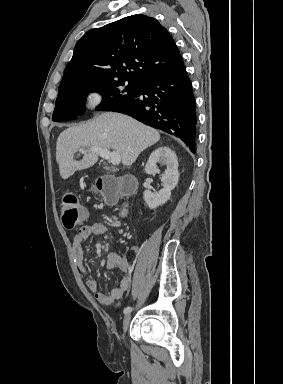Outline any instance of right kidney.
<instances>
[{
  "label": "right kidney",
  "instance_id": "ca27d5eb",
  "mask_svg": "<svg viewBox=\"0 0 283 384\" xmlns=\"http://www.w3.org/2000/svg\"><path fill=\"white\" fill-rule=\"evenodd\" d=\"M157 164L166 166V170L161 178V182H163L162 190L158 194H152L150 190L144 192V200L150 210H154L161 204H166L171 196V190H174L179 180L177 156L167 146H161V148H157L155 152H152L145 166L146 174H160Z\"/></svg>",
  "mask_w": 283,
  "mask_h": 384
}]
</instances>
